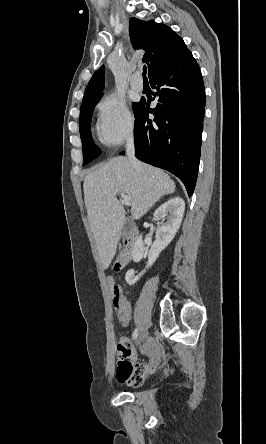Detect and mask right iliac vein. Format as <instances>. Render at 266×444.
<instances>
[{
  "instance_id": "obj_1",
  "label": "right iliac vein",
  "mask_w": 266,
  "mask_h": 444,
  "mask_svg": "<svg viewBox=\"0 0 266 444\" xmlns=\"http://www.w3.org/2000/svg\"><path fill=\"white\" fill-rule=\"evenodd\" d=\"M147 337V331L144 329L141 331L140 336L138 338V344H141Z\"/></svg>"
}]
</instances>
